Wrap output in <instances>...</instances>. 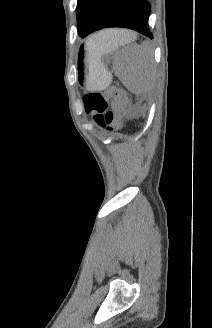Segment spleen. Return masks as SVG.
Masks as SVG:
<instances>
[{
    "label": "spleen",
    "instance_id": "spleen-1",
    "mask_svg": "<svg viewBox=\"0 0 212 328\" xmlns=\"http://www.w3.org/2000/svg\"><path fill=\"white\" fill-rule=\"evenodd\" d=\"M120 44L112 39L110 30H104L91 36L86 47L89 53L101 57L112 53ZM125 54L117 70L123 85L136 94L149 92L155 85L156 75L148 43L144 42L141 46L134 44L125 50Z\"/></svg>",
    "mask_w": 212,
    "mask_h": 328
}]
</instances>
